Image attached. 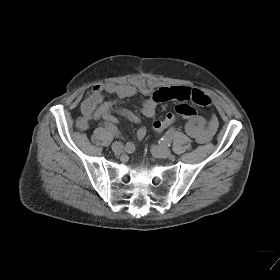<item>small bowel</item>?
<instances>
[{
	"label": "small bowel",
	"mask_w": 280,
	"mask_h": 280,
	"mask_svg": "<svg viewBox=\"0 0 280 280\" xmlns=\"http://www.w3.org/2000/svg\"><path fill=\"white\" fill-rule=\"evenodd\" d=\"M137 93L136 87L129 84H115L112 82L99 83L95 85L81 104L82 118L85 129L91 120L104 119L109 123H116L115 114L121 115L130 121L140 124L141 119L135 113L120 105L124 99L134 97ZM105 94H113L115 98L105 100ZM175 100L179 102L190 101L199 106H209L211 99L203 92L189 87H162L153 91L149 98L143 101L140 112L147 118L156 114L157 106L166 101ZM218 128V120L212 116L208 120L202 116L194 115L188 118L185 130L187 134L198 143H207L215 135ZM147 133L144 126H140L136 132L138 139H143Z\"/></svg>",
	"instance_id": "obj_1"
}]
</instances>
